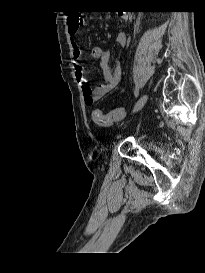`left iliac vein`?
<instances>
[{
	"mask_svg": "<svg viewBox=\"0 0 205 273\" xmlns=\"http://www.w3.org/2000/svg\"><path fill=\"white\" fill-rule=\"evenodd\" d=\"M147 100H148V95L147 94L142 95L139 98V100L136 102V104L134 105L132 113H136L139 110H141L143 108V106L146 104Z\"/></svg>",
	"mask_w": 205,
	"mask_h": 273,
	"instance_id": "4c4485c4",
	"label": "left iliac vein"
}]
</instances>
